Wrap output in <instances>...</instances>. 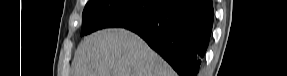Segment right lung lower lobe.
<instances>
[{
  "mask_svg": "<svg viewBox=\"0 0 287 76\" xmlns=\"http://www.w3.org/2000/svg\"><path fill=\"white\" fill-rule=\"evenodd\" d=\"M213 25L211 0H164L147 21L132 25L179 74L197 76Z\"/></svg>",
  "mask_w": 287,
  "mask_h": 76,
  "instance_id": "1",
  "label": "right lung lower lobe"
}]
</instances>
